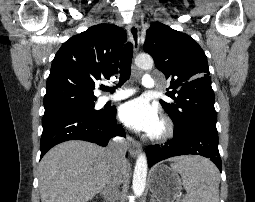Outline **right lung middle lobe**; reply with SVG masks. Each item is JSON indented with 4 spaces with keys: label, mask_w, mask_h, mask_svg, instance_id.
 I'll use <instances>...</instances> for the list:
<instances>
[{
    "label": "right lung middle lobe",
    "mask_w": 255,
    "mask_h": 202,
    "mask_svg": "<svg viewBox=\"0 0 255 202\" xmlns=\"http://www.w3.org/2000/svg\"><path fill=\"white\" fill-rule=\"evenodd\" d=\"M95 104L94 103H86V104H81V105H76L61 111H83V112H87L93 115H100L102 113V111H96L94 109Z\"/></svg>",
    "instance_id": "1"
}]
</instances>
